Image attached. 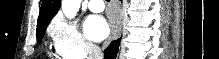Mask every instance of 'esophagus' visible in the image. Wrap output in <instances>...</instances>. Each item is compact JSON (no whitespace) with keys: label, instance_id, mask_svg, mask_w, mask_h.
I'll list each match as a JSON object with an SVG mask.
<instances>
[{"label":"esophagus","instance_id":"1","mask_svg":"<svg viewBox=\"0 0 219 59\" xmlns=\"http://www.w3.org/2000/svg\"><path fill=\"white\" fill-rule=\"evenodd\" d=\"M120 34H121V27L120 26L117 27V25H116V27H114V28L112 27L110 36H109L108 41L106 43L110 42L111 40L118 39L120 37Z\"/></svg>","mask_w":219,"mask_h":59}]
</instances>
